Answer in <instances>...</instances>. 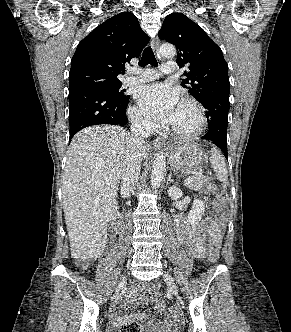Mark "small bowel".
Instances as JSON below:
<instances>
[{
	"label": "small bowel",
	"mask_w": 291,
	"mask_h": 332,
	"mask_svg": "<svg viewBox=\"0 0 291 332\" xmlns=\"http://www.w3.org/2000/svg\"><path fill=\"white\" fill-rule=\"evenodd\" d=\"M177 235L179 240L185 245L188 254L194 259H202L206 254V239L212 245L219 246L222 236V228L211 218L204 219L198 227H190L185 222L177 224ZM141 288H136L131 291L128 301L139 302H153L155 309L159 312L165 310V304L159 299L157 292L153 287L143 290L139 296ZM115 323H122L126 321H141L145 324L149 332H170L173 328L171 321L160 322L157 320L148 321L144 314H132L127 317L114 316Z\"/></svg>",
	"instance_id": "1"
}]
</instances>
